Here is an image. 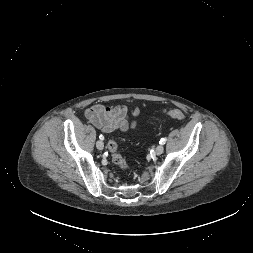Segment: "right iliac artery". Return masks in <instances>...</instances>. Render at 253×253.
Returning <instances> with one entry per match:
<instances>
[{
    "label": "right iliac artery",
    "instance_id": "1",
    "mask_svg": "<svg viewBox=\"0 0 253 253\" xmlns=\"http://www.w3.org/2000/svg\"><path fill=\"white\" fill-rule=\"evenodd\" d=\"M99 138H100L101 140H103V139H104V136H103V135H100Z\"/></svg>",
    "mask_w": 253,
    "mask_h": 253
}]
</instances>
